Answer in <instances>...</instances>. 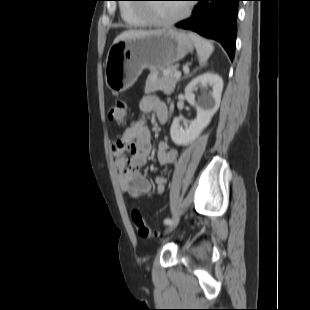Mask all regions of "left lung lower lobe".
I'll return each mask as SVG.
<instances>
[{
	"instance_id": "obj_1",
	"label": "left lung lower lobe",
	"mask_w": 310,
	"mask_h": 310,
	"mask_svg": "<svg viewBox=\"0 0 310 310\" xmlns=\"http://www.w3.org/2000/svg\"><path fill=\"white\" fill-rule=\"evenodd\" d=\"M193 15L177 23L178 28L192 30L218 41L231 60L235 55L238 2L241 0H196Z\"/></svg>"
}]
</instances>
